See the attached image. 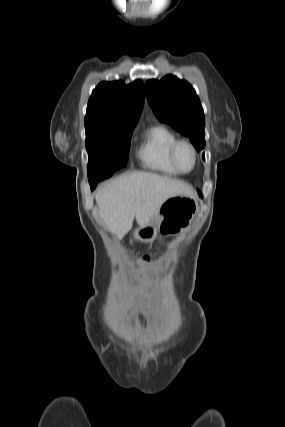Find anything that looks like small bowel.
Listing matches in <instances>:
<instances>
[{"mask_svg":"<svg viewBox=\"0 0 285 427\" xmlns=\"http://www.w3.org/2000/svg\"><path fill=\"white\" fill-rule=\"evenodd\" d=\"M140 293H141V288L140 287H136L135 290H134V296L138 297L140 295Z\"/></svg>","mask_w":285,"mask_h":427,"instance_id":"obj_1","label":"small bowel"}]
</instances>
